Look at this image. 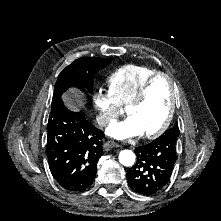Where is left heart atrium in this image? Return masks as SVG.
<instances>
[{"label":"left heart atrium","mask_w":221,"mask_h":221,"mask_svg":"<svg viewBox=\"0 0 221 221\" xmlns=\"http://www.w3.org/2000/svg\"><path fill=\"white\" fill-rule=\"evenodd\" d=\"M107 134L111 137L123 140L140 136L142 132L135 122L131 118H128L125 121L116 122L110 125L107 129Z\"/></svg>","instance_id":"obj_1"}]
</instances>
